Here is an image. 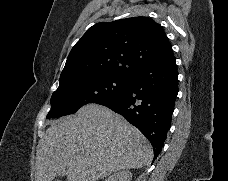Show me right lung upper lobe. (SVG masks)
<instances>
[{
	"label": "right lung upper lobe",
	"instance_id": "1",
	"mask_svg": "<svg viewBox=\"0 0 228 181\" xmlns=\"http://www.w3.org/2000/svg\"><path fill=\"white\" fill-rule=\"evenodd\" d=\"M170 53L172 48L162 27L151 18L100 22L73 46L59 86L109 74L131 77Z\"/></svg>",
	"mask_w": 228,
	"mask_h": 181
}]
</instances>
